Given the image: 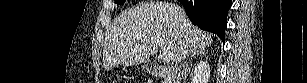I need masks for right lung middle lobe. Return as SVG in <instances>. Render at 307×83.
Returning <instances> with one entry per match:
<instances>
[{
    "mask_svg": "<svg viewBox=\"0 0 307 83\" xmlns=\"http://www.w3.org/2000/svg\"><path fill=\"white\" fill-rule=\"evenodd\" d=\"M115 3H116L117 5L124 4V3H125V0H116Z\"/></svg>",
    "mask_w": 307,
    "mask_h": 83,
    "instance_id": "1",
    "label": "right lung middle lobe"
}]
</instances>
